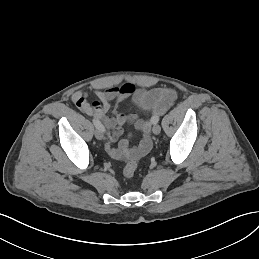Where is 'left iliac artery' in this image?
Masks as SVG:
<instances>
[{
    "label": "left iliac artery",
    "mask_w": 259,
    "mask_h": 259,
    "mask_svg": "<svg viewBox=\"0 0 259 259\" xmlns=\"http://www.w3.org/2000/svg\"><path fill=\"white\" fill-rule=\"evenodd\" d=\"M152 121H153L154 124L158 123L159 122V116H155Z\"/></svg>",
    "instance_id": "left-iliac-artery-1"
}]
</instances>
